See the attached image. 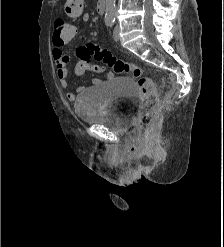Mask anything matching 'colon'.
Listing matches in <instances>:
<instances>
[{
    "mask_svg": "<svg viewBox=\"0 0 224 247\" xmlns=\"http://www.w3.org/2000/svg\"><path fill=\"white\" fill-rule=\"evenodd\" d=\"M77 34L76 27L63 18H57L53 25V39L61 42L71 41ZM81 68L95 72L108 70L111 73H130L137 80L138 89L142 98L143 110L137 125V131L143 133L153 121L158 104V93L153 80L144 75L142 69L129 62L118 59L107 49L94 44L81 46L76 51ZM94 58L95 64H90Z\"/></svg>",
    "mask_w": 224,
    "mask_h": 247,
    "instance_id": "5ec220e1",
    "label": "colon"
}]
</instances>
